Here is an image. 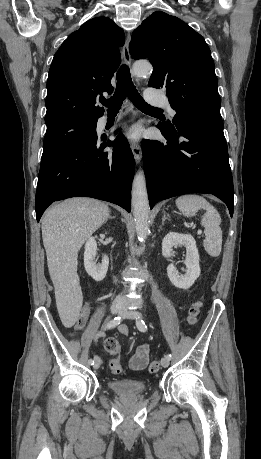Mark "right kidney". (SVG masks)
Instances as JSON below:
<instances>
[{"mask_svg":"<svg viewBox=\"0 0 261 459\" xmlns=\"http://www.w3.org/2000/svg\"><path fill=\"white\" fill-rule=\"evenodd\" d=\"M97 243L94 237H90L85 244L84 267L88 275L95 281H102L109 266L108 256L102 257L101 263H96Z\"/></svg>","mask_w":261,"mask_h":459,"instance_id":"ca27d5eb","label":"right kidney"}]
</instances>
